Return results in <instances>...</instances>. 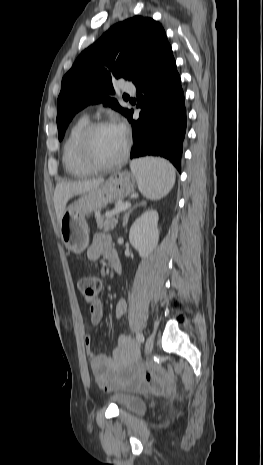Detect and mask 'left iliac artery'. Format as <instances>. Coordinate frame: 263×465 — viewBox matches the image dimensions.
Returning a JSON list of instances; mask_svg holds the SVG:
<instances>
[{"label": "left iliac artery", "mask_w": 263, "mask_h": 465, "mask_svg": "<svg viewBox=\"0 0 263 465\" xmlns=\"http://www.w3.org/2000/svg\"><path fill=\"white\" fill-rule=\"evenodd\" d=\"M136 339H137L138 342L143 343V342H144V336H143V334L140 333V332H138V333L136 334Z\"/></svg>", "instance_id": "44dca946"}]
</instances>
